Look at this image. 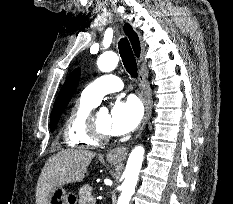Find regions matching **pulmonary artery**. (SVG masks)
<instances>
[{
    "instance_id": "1",
    "label": "pulmonary artery",
    "mask_w": 233,
    "mask_h": 204,
    "mask_svg": "<svg viewBox=\"0 0 233 204\" xmlns=\"http://www.w3.org/2000/svg\"><path fill=\"white\" fill-rule=\"evenodd\" d=\"M123 86V82L118 76L107 74L97 78L86 86L82 95L86 99L98 104L104 95L120 91L123 89Z\"/></svg>"
}]
</instances>
